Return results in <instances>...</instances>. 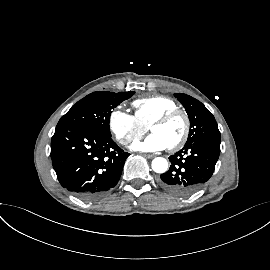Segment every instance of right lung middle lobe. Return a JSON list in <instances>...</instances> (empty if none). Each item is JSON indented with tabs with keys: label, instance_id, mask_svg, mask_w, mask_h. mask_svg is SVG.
<instances>
[{
	"label": "right lung middle lobe",
	"instance_id": "right-lung-middle-lobe-1",
	"mask_svg": "<svg viewBox=\"0 0 270 270\" xmlns=\"http://www.w3.org/2000/svg\"><path fill=\"white\" fill-rule=\"evenodd\" d=\"M135 92H93L75 105L60 119L56 128L86 127L111 137L109 122L112 110Z\"/></svg>",
	"mask_w": 270,
	"mask_h": 270
}]
</instances>
